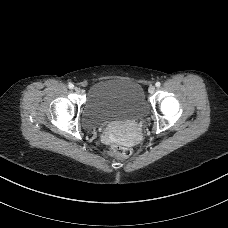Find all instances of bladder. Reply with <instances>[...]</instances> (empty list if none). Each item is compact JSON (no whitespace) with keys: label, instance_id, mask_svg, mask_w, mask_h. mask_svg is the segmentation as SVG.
Wrapping results in <instances>:
<instances>
[{"label":"bladder","instance_id":"bladder-1","mask_svg":"<svg viewBox=\"0 0 228 228\" xmlns=\"http://www.w3.org/2000/svg\"><path fill=\"white\" fill-rule=\"evenodd\" d=\"M147 113L148 101L141 84L130 79H109L90 87L81 120L86 129H96L116 121L140 119Z\"/></svg>","mask_w":228,"mask_h":228}]
</instances>
